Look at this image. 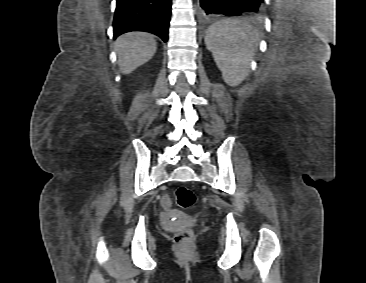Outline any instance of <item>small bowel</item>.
Returning <instances> with one entry per match:
<instances>
[{
	"label": "small bowel",
	"instance_id": "c3829d8e",
	"mask_svg": "<svg viewBox=\"0 0 366 283\" xmlns=\"http://www.w3.org/2000/svg\"><path fill=\"white\" fill-rule=\"evenodd\" d=\"M164 201L167 203L168 202L167 198H165Z\"/></svg>",
	"mask_w": 366,
	"mask_h": 283
}]
</instances>
